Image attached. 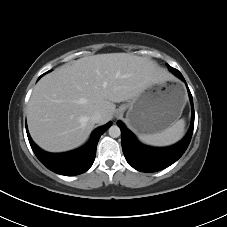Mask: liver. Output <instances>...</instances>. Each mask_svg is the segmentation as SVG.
<instances>
[{
  "mask_svg": "<svg viewBox=\"0 0 227 227\" xmlns=\"http://www.w3.org/2000/svg\"><path fill=\"white\" fill-rule=\"evenodd\" d=\"M167 75L152 60L129 53L87 56L44 76L35 86L27 108L34 142L49 152H64L82 145L95 123L110 121L115 104L133 99Z\"/></svg>",
  "mask_w": 227,
  "mask_h": 227,
  "instance_id": "6515ba94",
  "label": "liver"
}]
</instances>
